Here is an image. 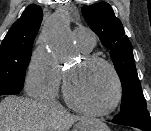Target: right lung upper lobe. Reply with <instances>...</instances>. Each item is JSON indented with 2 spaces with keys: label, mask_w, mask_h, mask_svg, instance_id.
I'll use <instances>...</instances> for the list:
<instances>
[{
  "label": "right lung upper lobe",
  "mask_w": 151,
  "mask_h": 131,
  "mask_svg": "<svg viewBox=\"0 0 151 131\" xmlns=\"http://www.w3.org/2000/svg\"><path fill=\"white\" fill-rule=\"evenodd\" d=\"M42 19L41 7L36 4L29 5L21 17L11 26L2 44L33 45Z\"/></svg>",
  "instance_id": "obj_1"
}]
</instances>
